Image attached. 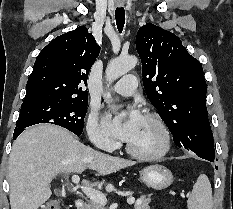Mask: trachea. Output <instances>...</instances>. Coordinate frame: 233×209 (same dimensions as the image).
I'll return each mask as SVG.
<instances>
[{
  "label": "trachea",
  "instance_id": "obj_1",
  "mask_svg": "<svg viewBox=\"0 0 233 209\" xmlns=\"http://www.w3.org/2000/svg\"><path fill=\"white\" fill-rule=\"evenodd\" d=\"M115 19L118 31L121 33L125 24V10L123 7H117L115 10Z\"/></svg>",
  "mask_w": 233,
  "mask_h": 209
}]
</instances>
